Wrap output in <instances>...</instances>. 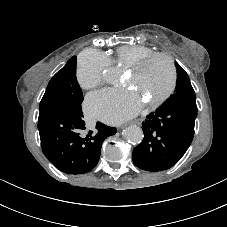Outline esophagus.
<instances>
[{"label":"esophagus","mask_w":227,"mask_h":227,"mask_svg":"<svg viewBox=\"0 0 227 227\" xmlns=\"http://www.w3.org/2000/svg\"><path fill=\"white\" fill-rule=\"evenodd\" d=\"M141 123H142V119H136V120H133V119H131V120H127V121H125V122H123L122 123V127H120L119 129H122V128H127L128 126H133V125H135V124H137V125H141Z\"/></svg>","instance_id":"esophagus-1"}]
</instances>
